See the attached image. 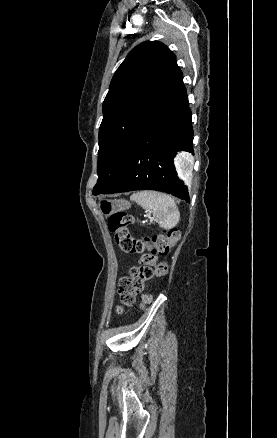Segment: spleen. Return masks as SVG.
I'll list each match as a JSON object with an SVG mask.
<instances>
[{"mask_svg": "<svg viewBox=\"0 0 277 438\" xmlns=\"http://www.w3.org/2000/svg\"><path fill=\"white\" fill-rule=\"evenodd\" d=\"M130 200L137 202L144 210H148L157 220L160 228H175L179 222V210L172 198L160 192H152V190H143L132 194Z\"/></svg>", "mask_w": 277, "mask_h": 438, "instance_id": "1", "label": "spleen"}]
</instances>
